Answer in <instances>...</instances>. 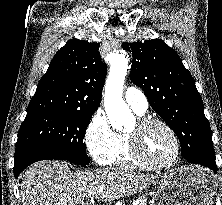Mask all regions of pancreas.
Listing matches in <instances>:
<instances>
[{
  "mask_svg": "<svg viewBox=\"0 0 222 205\" xmlns=\"http://www.w3.org/2000/svg\"><path fill=\"white\" fill-rule=\"evenodd\" d=\"M137 205H147V198L144 196L140 197Z\"/></svg>",
  "mask_w": 222,
  "mask_h": 205,
  "instance_id": "pancreas-1",
  "label": "pancreas"
}]
</instances>
